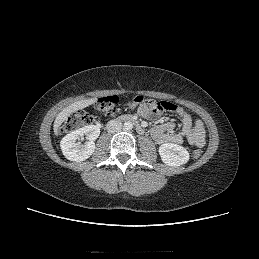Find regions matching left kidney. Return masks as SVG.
Listing matches in <instances>:
<instances>
[{"mask_svg": "<svg viewBox=\"0 0 259 259\" xmlns=\"http://www.w3.org/2000/svg\"><path fill=\"white\" fill-rule=\"evenodd\" d=\"M159 155L162 161L168 166H180L188 162L189 152L180 145L165 143L159 147Z\"/></svg>", "mask_w": 259, "mask_h": 259, "instance_id": "1", "label": "left kidney"}]
</instances>
